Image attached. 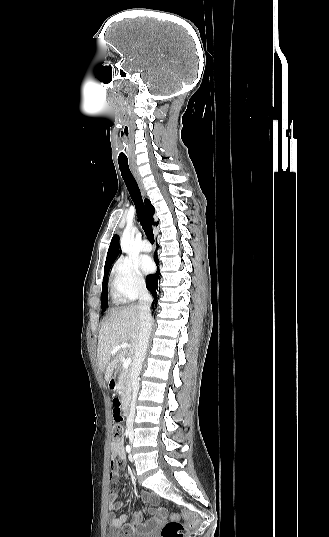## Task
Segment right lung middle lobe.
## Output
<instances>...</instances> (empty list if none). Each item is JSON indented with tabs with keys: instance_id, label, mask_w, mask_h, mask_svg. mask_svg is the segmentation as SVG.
<instances>
[{
	"instance_id": "right-lung-middle-lobe-1",
	"label": "right lung middle lobe",
	"mask_w": 329,
	"mask_h": 537,
	"mask_svg": "<svg viewBox=\"0 0 329 537\" xmlns=\"http://www.w3.org/2000/svg\"><path fill=\"white\" fill-rule=\"evenodd\" d=\"M111 267V266H110ZM110 267L104 270V278L102 283V310L105 311L108 305V296H107V278L110 271Z\"/></svg>"
}]
</instances>
